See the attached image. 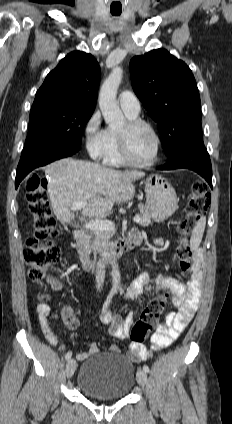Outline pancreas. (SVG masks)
Wrapping results in <instances>:
<instances>
[{"label":"pancreas","instance_id":"cf45deb5","mask_svg":"<svg viewBox=\"0 0 232 424\" xmlns=\"http://www.w3.org/2000/svg\"><path fill=\"white\" fill-rule=\"evenodd\" d=\"M139 217L141 221L139 224L143 227L148 226L152 221V215L149 212L148 208L140 205L139 206ZM114 230H98L93 231L87 239V245L94 252L105 253L109 247L113 245V242L110 239L114 236Z\"/></svg>","mask_w":232,"mask_h":424}]
</instances>
